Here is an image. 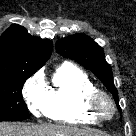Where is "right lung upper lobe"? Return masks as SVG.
Here are the masks:
<instances>
[{"instance_id": "cb5924a9", "label": "right lung upper lobe", "mask_w": 136, "mask_h": 136, "mask_svg": "<svg viewBox=\"0 0 136 136\" xmlns=\"http://www.w3.org/2000/svg\"><path fill=\"white\" fill-rule=\"evenodd\" d=\"M52 42L28 34L20 25H12L0 37V75L15 72L34 74L49 59Z\"/></svg>"}]
</instances>
